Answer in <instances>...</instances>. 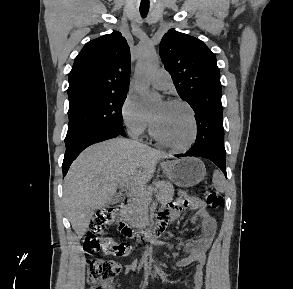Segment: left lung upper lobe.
<instances>
[{
	"label": "left lung upper lobe",
	"instance_id": "5c2ea615",
	"mask_svg": "<svg viewBox=\"0 0 293 289\" xmlns=\"http://www.w3.org/2000/svg\"><path fill=\"white\" fill-rule=\"evenodd\" d=\"M159 53L178 94L192 107L195 118L205 115L223 118L220 70L215 54L201 40L174 29L163 36Z\"/></svg>",
	"mask_w": 293,
	"mask_h": 289
}]
</instances>
